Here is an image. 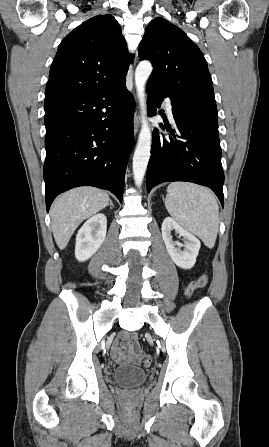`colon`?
I'll return each instance as SVG.
<instances>
[{
    "mask_svg": "<svg viewBox=\"0 0 269 447\" xmlns=\"http://www.w3.org/2000/svg\"><path fill=\"white\" fill-rule=\"evenodd\" d=\"M208 276L202 275L196 280H193L190 282L188 286L185 287V297L188 299L193 293L198 290L199 288L204 287L208 283ZM151 358L148 355H142L139 359V362L143 366H149L151 364Z\"/></svg>",
    "mask_w": 269,
    "mask_h": 447,
    "instance_id": "5ec220e1",
    "label": "colon"
}]
</instances>
